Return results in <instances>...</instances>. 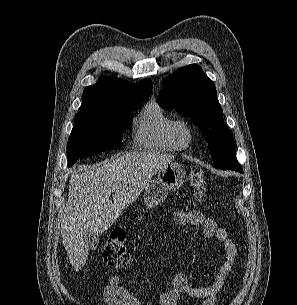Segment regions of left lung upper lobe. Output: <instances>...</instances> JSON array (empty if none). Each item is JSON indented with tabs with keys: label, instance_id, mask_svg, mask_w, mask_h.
Here are the masks:
<instances>
[{
	"label": "left lung upper lobe",
	"instance_id": "obj_1",
	"mask_svg": "<svg viewBox=\"0 0 297 305\" xmlns=\"http://www.w3.org/2000/svg\"><path fill=\"white\" fill-rule=\"evenodd\" d=\"M159 105L175 109L201 130L208 144L214 167L243 172L236 158L233 140L223 120L214 83L200 66L191 64L178 69L162 81Z\"/></svg>",
	"mask_w": 297,
	"mask_h": 305
}]
</instances>
